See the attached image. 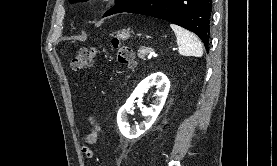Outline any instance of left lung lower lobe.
Masks as SVG:
<instances>
[{"instance_id":"left-lung-lower-lobe-1","label":"left lung lower lobe","mask_w":277,"mask_h":166,"mask_svg":"<svg viewBox=\"0 0 277 166\" xmlns=\"http://www.w3.org/2000/svg\"><path fill=\"white\" fill-rule=\"evenodd\" d=\"M166 20L197 34L209 48L211 0H141L126 11Z\"/></svg>"}]
</instances>
